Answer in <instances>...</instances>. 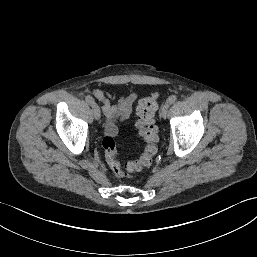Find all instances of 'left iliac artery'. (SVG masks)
I'll use <instances>...</instances> for the list:
<instances>
[{
	"mask_svg": "<svg viewBox=\"0 0 257 257\" xmlns=\"http://www.w3.org/2000/svg\"><path fill=\"white\" fill-rule=\"evenodd\" d=\"M177 100V96L176 95H171L166 102H168L169 104L174 103Z\"/></svg>",
	"mask_w": 257,
	"mask_h": 257,
	"instance_id": "1",
	"label": "left iliac artery"
}]
</instances>
